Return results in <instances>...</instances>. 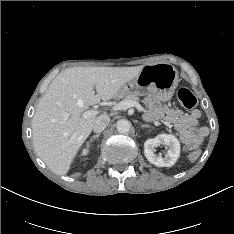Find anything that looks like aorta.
<instances>
[{
    "label": "aorta",
    "instance_id": "762f6f07",
    "mask_svg": "<svg viewBox=\"0 0 234 234\" xmlns=\"http://www.w3.org/2000/svg\"><path fill=\"white\" fill-rule=\"evenodd\" d=\"M116 128L119 133L125 134L130 131L131 123L127 119H121L117 122Z\"/></svg>",
    "mask_w": 234,
    "mask_h": 234
}]
</instances>
